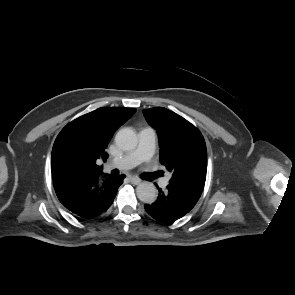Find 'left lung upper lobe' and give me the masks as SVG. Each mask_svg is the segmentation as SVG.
I'll return each mask as SVG.
<instances>
[{"label":"left lung upper lobe","instance_id":"left-lung-upper-lobe-1","mask_svg":"<svg viewBox=\"0 0 295 295\" xmlns=\"http://www.w3.org/2000/svg\"><path fill=\"white\" fill-rule=\"evenodd\" d=\"M143 114L159 134L160 161L172 174L169 184L202 192L207 172V149L200 131L163 107L144 109Z\"/></svg>","mask_w":295,"mask_h":295}]
</instances>
